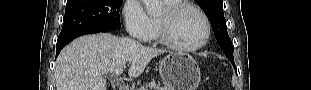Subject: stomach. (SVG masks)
<instances>
[{"mask_svg": "<svg viewBox=\"0 0 311 90\" xmlns=\"http://www.w3.org/2000/svg\"><path fill=\"white\" fill-rule=\"evenodd\" d=\"M159 73L170 90H196L201 81L196 60L186 53L174 52L161 59Z\"/></svg>", "mask_w": 311, "mask_h": 90, "instance_id": "1", "label": "stomach"}]
</instances>
